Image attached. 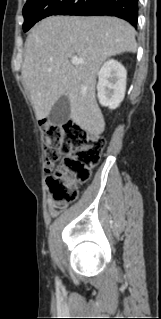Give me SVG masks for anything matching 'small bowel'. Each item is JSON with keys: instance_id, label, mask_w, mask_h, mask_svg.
Returning <instances> with one entry per match:
<instances>
[{"instance_id": "c3829d8e", "label": "small bowel", "mask_w": 161, "mask_h": 319, "mask_svg": "<svg viewBox=\"0 0 161 319\" xmlns=\"http://www.w3.org/2000/svg\"><path fill=\"white\" fill-rule=\"evenodd\" d=\"M47 203H48V206H49V209H50V214L54 215V212H53V206H54L53 200L49 198Z\"/></svg>"}]
</instances>
